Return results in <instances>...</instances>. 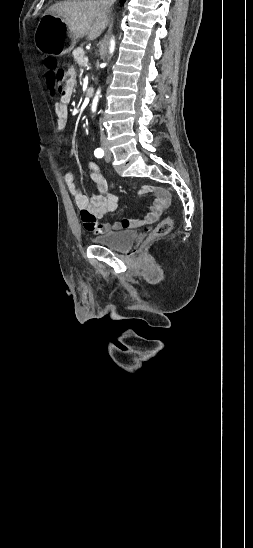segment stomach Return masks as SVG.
I'll list each match as a JSON object with an SVG mask.
<instances>
[{
	"label": "stomach",
	"instance_id": "stomach-1",
	"mask_svg": "<svg viewBox=\"0 0 253 548\" xmlns=\"http://www.w3.org/2000/svg\"><path fill=\"white\" fill-rule=\"evenodd\" d=\"M34 43L41 53L62 56L73 50L76 40L60 17L48 14L38 23Z\"/></svg>",
	"mask_w": 253,
	"mask_h": 548
}]
</instances>
